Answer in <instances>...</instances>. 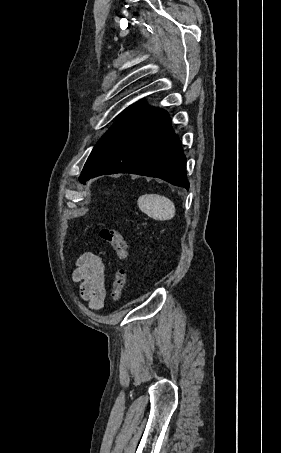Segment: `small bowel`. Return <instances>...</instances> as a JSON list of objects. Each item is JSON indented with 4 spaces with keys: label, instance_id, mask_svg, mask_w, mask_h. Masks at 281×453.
<instances>
[{
    "label": "small bowel",
    "instance_id": "c3829d8e",
    "mask_svg": "<svg viewBox=\"0 0 281 453\" xmlns=\"http://www.w3.org/2000/svg\"><path fill=\"white\" fill-rule=\"evenodd\" d=\"M105 265L101 256L94 253L82 254L74 269V279L79 283L80 295L93 311L103 308L106 299Z\"/></svg>",
    "mask_w": 281,
    "mask_h": 453
}]
</instances>
